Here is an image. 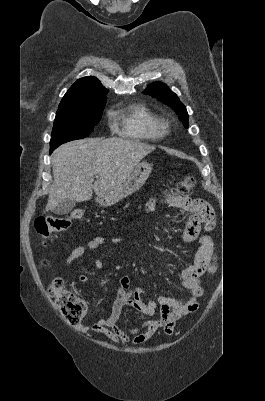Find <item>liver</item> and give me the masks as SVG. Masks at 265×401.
Returning <instances> with one entry per match:
<instances>
[{
  "instance_id": "obj_1",
  "label": "liver",
  "mask_w": 265,
  "mask_h": 401,
  "mask_svg": "<svg viewBox=\"0 0 265 401\" xmlns=\"http://www.w3.org/2000/svg\"><path fill=\"white\" fill-rule=\"evenodd\" d=\"M155 150L153 144L130 138H84L61 144L51 156L54 182L49 190L46 211L59 203L90 201L93 190L97 196L122 184L146 154ZM96 174L97 180L93 182Z\"/></svg>"
}]
</instances>
